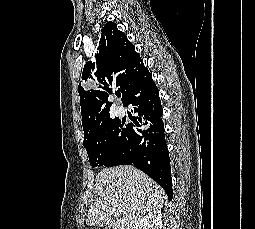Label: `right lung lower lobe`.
Listing matches in <instances>:
<instances>
[{"instance_id":"obj_1","label":"right lung lower lobe","mask_w":255,"mask_h":229,"mask_svg":"<svg viewBox=\"0 0 255 229\" xmlns=\"http://www.w3.org/2000/svg\"><path fill=\"white\" fill-rule=\"evenodd\" d=\"M125 106L131 105L137 121L128 124L133 140V155L119 165H131L156 181L172 199V178L168 147L164 136L159 91L151 73L141 68L131 80Z\"/></svg>"}]
</instances>
